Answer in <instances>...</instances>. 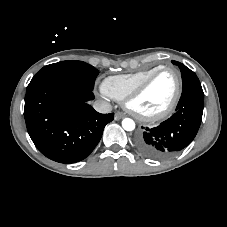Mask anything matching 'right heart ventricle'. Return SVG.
Masks as SVG:
<instances>
[{
  "instance_id": "right-heart-ventricle-1",
  "label": "right heart ventricle",
  "mask_w": 227,
  "mask_h": 227,
  "mask_svg": "<svg viewBox=\"0 0 227 227\" xmlns=\"http://www.w3.org/2000/svg\"><path fill=\"white\" fill-rule=\"evenodd\" d=\"M161 65L128 74H119L106 77L101 83L102 92L116 100L125 97L150 74L160 69Z\"/></svg>"
}]
</instances>
